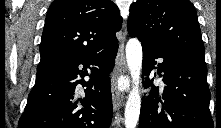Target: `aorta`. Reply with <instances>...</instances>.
I'll use <instances>...</instances> for the list:
<instances>
[{
    "instance_id": "obj_1",
    "label": "aorta",
    "mask_w": 221,
    "mask_h": 128,
    "mask_svg": "<svg viewBox=\"0 0 221 128\" xmlns=\"http://www.w3.org/2000/svg\"><path fill=\"white\" fill-rule=\"evenodd\" d=\"M142 46L138 39L132 38L126 45V60L131 74L133 87L130 91L125 106L124 121L126 128H135L140 115V73L142 68Z\"/></svg>"
}]
</instances>
